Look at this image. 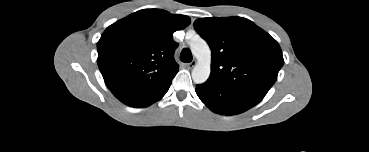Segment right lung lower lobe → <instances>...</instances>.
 <instances>
[{"label": "right lung lower lobe", "mask_w": 369, "mask_h": 152, "mask_svg": "<svg viewBox=\"0 0 369 152\" xmlns=\"http://www.w3.org/2000/svg\"><path fill=\"white\" fill-rule=\"evenodd\" d=\"M170 85H171V83L168 84L161 92H159V93H157L153 96L147 97V98L142 99L138 102L131 103V104H128V105L132 106V107H147V106L155 103L156 101L160 100L166 94V92L168 91Z\"/></svg>", "instance_id": "obj_1"}]
</instances>
